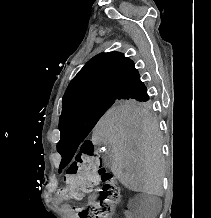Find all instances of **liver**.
Masks as SVG:
<instances>
[{
    "mask_svg": "<svg viewBox=\"0 0 211 218\" xmlns=\"http://www.w3.org/2000/svg\"><path fill=\"white\" fill-rule=\"evenodd\" d=\"M111 150V170L132 190L161 196L164 162L158 124L144 108L114 106L99 120L92 142Z\"/></svg>",
    "mask_w": 211,
    "mask_h": 218,
    "instance_id": "liver-1",
    "label": "liver"
}]
</instances>
